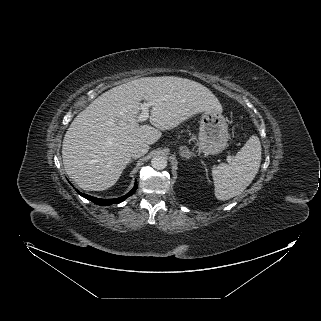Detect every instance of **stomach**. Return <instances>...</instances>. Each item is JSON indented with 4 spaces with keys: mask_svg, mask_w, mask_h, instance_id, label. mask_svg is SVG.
Here are the masks:
<instances>
[{
    "mask_svg": "<svg viewBox=\"0 0 321 321\" xmlns=\"http://www.w3.org/2000/svg\"><path fill=\"white\" fill-rule=\"evenodd\" d=\"M228 139V125L221 111H204L199 123V150L205 154L220 153Z\"/></svg>",
    "mask_w": 321,
    "mask_h": 321,
    "instance_id": "0dacf381",
    "label": "stomach"
}]
</instances>
